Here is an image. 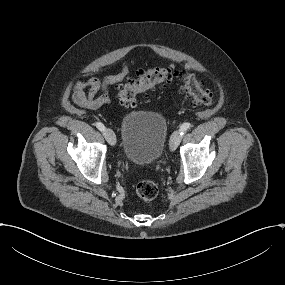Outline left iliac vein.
Listing matches in <instances>:
<instances>
[{
	"label": "left iliac vein",
	"mask_w": 285,
	"mask_h": 285,
	"mask_svg": "<svg viewBox=\"0 0 285 285\" xmlns=\"http://www.w3.org/2000/svg\"><path fill=\"white\" fill-rule=\"evenodd\" d=\"M181 141L180 131H175L170 138V150L174 151Z\"/></svg>",
	"instance_id": "4c4485c4"
}]
</instances>
